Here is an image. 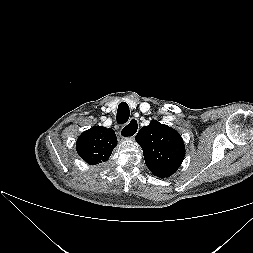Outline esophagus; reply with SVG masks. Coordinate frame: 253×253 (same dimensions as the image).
Wrapping results in <instances>:
<instances>
[{
	"instance_id": "1",
	"label": "esophagus",
	"mask_w": 253,
	"mask_h": 253,
	"mask_svg": "<svg viewBox=\"0 0 253 253\" xmlns=\"http://www.w3.org/2000/svg\"><path fill=\"white\" fill-rule=\"evenodd\" d=\"M131 121L133 124L129 125ZM130 122L128 124L124 125L119 131V135L123 139L133 138L136 135V133L138 132L139 124H138L137 120L131 119Z\"/></svg>"
}]
</instances>
